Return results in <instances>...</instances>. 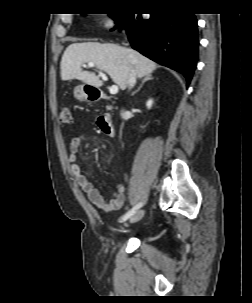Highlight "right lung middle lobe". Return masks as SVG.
<instances>
[{"mask_svg": "<svg viewBox=\"0 0 252 303\" xmlns=\"http://www.w3.org/2000/svg\"><path fill=\"white\" fill-rule=\"evenodd\" d=\"M116 23L120 22L127 14H109Z\"/></svg>", "mask_w": 252, "mask_h": 303, "instance_id": "obj_1", "label": "right lung middle lobe"}]
</instances>
